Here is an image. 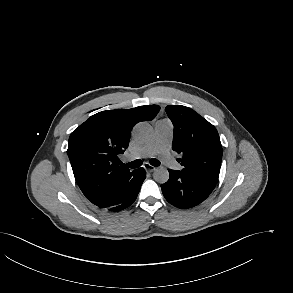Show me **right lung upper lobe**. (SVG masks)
Segmentation results:
<instances>
[{"label":"right lung upper lobe","mask_w":293,"mask_h":293,"mask_svg":"<svg viewBox=\"0 0 293 293\" xmlns=\"http://www.w3.org/2000/svg\"><path fill=\"white\" fill-rule=\"evenodd\" d=\"M158 105L102 111L88 118L69 137L68 156L85 197L100 208L122 203L133 191L137 169L119 166L131 129L155 118Z\"/></svg>","instance_id":"cb5924a9"}]
</instances>
